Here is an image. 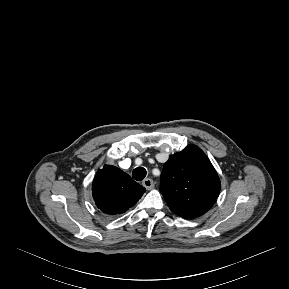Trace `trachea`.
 Listing matches in <instances>:
<instances>
[{
	"label": "trachea",
	"mask_w": 289,
	"mask_h": 289,
	"mask_svg": "<svg viewBox=\"0 0 289 289\" xmlns=\"http://www.w3.org/2000/svg\"><path fill=\"white\" fill-rule=\"evenodd\" d=\"M147 171L143 167H137L133 170L132 176L135 180L141 181L145 178Z\"/></svg>",
	"instance_id": "trachea-1"
}]
</instances>
